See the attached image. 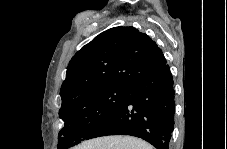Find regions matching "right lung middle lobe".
Returning a JSON list of instances; mask_svg holds the SVG:
<instances>
[{
    "label": "right lung middle lobe",
    "instance_id": "dd1d6c3e",
    "mask_svg": "<svg viewBox=\"0 0 227 149\" xmlns=\"http://www.w3.org/2000/svg\"><path fill=\"white\" fill-rule=\"evenodd\" d=\"M129 87L108 85L92 90L60 109L64 127L58 135V149H68L85 140L126 101Z\"/></svg>",
    "mask_w": 227,
    "mask_h": 149
}]
</instances>
